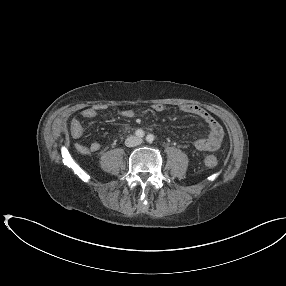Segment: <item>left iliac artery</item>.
<instances>
[{
    "label": "left iliac artery",
    "mask_w": 286,
    "mask_h": 286,
    "mask_svg": "<svg viewBox=\"0 0 286 286\" xmlns=\"http://www.w3.org/2000/svg\"><path fill=\"white\" fill-rule=\"evenodd\" d=\"M146 140L147 142L152 143L155 140V137L153 134H148Z\"/></svg>",
    "instance_id": "left-iliac-artery-1"
}]
</instances>
